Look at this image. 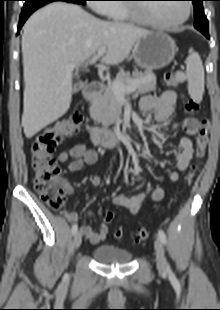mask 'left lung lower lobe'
<instances>
[{
	"instance_id": "1",
	"label": "left lung lower lobe",
	"mask_w": 220,
	"mask_h": 310,
	"mask_svg": "<svg viewBox=\"0 0 220 310\" xmlns=\"http://www.w3.org/2000/svg\"><path fill=\"white\" fill-rule=\"evenodd\" d=\"M207 38H209V33L208 32H205L203 33Z\"/></svg>"
}]
</instances>
